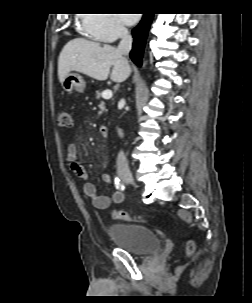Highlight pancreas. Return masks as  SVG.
Returning a JSON list of instances; mask_svg holds the SVG:
<instances>
[{"label":"pancreas","instance_id":"cf45deb5","mask_svg":"<svg viewBox=\"0 0 252 303\" xmlns=\"http://www.w3.org/2000/svg\"><path fill=\"white\" fill-rule=\"evenodd\" d=\"M101 97H102V93L99 90L96 91V98L99 100ZM99 107H100L99 115H101L104 111H106L105 103L101 102Z\"/></svg>","mask_w":252,"mask_h":303}]
</instances>
